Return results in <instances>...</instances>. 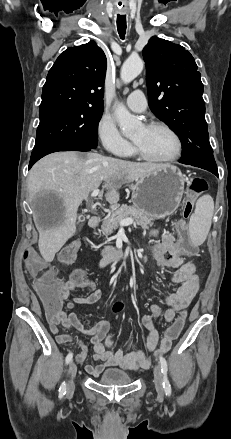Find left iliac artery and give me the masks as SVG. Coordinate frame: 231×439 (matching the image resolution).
I'll return each mask as SVG.
<instances>
[{
  "label": "left iliac artery",
  "mask_w": 231,
  "mask_h": 439,
  "mask_svg": "<svg viewBox=\"0 0 231 439\" xmlns=\"http://www.w3.org/2000/svg\"><path fill=\"white\" fill-rule=\"evenodd\" d=\"M159 359H160L161 371L163 374V388H164L165 394L167 396H170L171 395V385H170L169 380L167 378V370H168L167 369V362H166L165 358L162 356H160Z\"/></svg>",
  "instance_id": "left-iliac-artery-1"
}]
</instances>
